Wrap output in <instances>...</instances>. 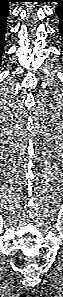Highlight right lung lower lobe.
Masks as SVG:
<instances>
[{
	"instance_id": "obj_1",
	"label": "right lung lower lobe",
	"mask_w": 63,
	"mask_h": 297,
	"mask_svg": "<svg viewBox=\"0 0 63 297\" xmlns=\"http://www.w3.org/2000/svg\"><path fill=\"white\" fill-rule=\"evenodd\" d=\"M11 0H0V61L1 55L4 50L5 41L4 36L6 33V20L9 15V2Z\"/></svg>"
}]
</instances>
